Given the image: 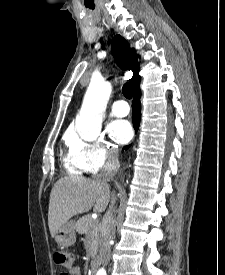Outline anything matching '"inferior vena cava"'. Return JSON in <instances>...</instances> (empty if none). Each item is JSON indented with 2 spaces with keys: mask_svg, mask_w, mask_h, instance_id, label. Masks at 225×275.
Instances as JSON below:
<instances>
[{
  "mask_svg": "<svg viewBox=\"0 0 225 275\" xmlns=\"http://www.w3.org/2000/svg\"><path fill=\"white\" fill-rule=\"evenodd\" d=\"M119 167L118 155L116 150H109L107 152V161L103 167L102 173L99 177L104 182H108L112 179L114 172ZM116 202L115 194L112 193L111 205L103 218V228L101 231V241L99 246L100 260L104 266H106L110 260V241L113 238V228L115 226L113 212L115 210L114 205Z\"/></svg>",
  "mask_w": 225,
  "mask_h": 275,
  "instance_id": "obj_1",
  "label": "inferior vena cava"
}]
</instances>
